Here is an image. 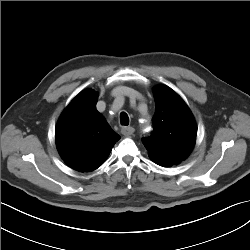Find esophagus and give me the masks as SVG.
Here are the masks:
<instances>
[{
	"mask_svg": "<svg viewBox=\"0 0 250 250\" xmlns=\"http://www.w3.org/2000/svg\"><path fill=\"white\" fill-rule=\"evenodd\" d=\"M135 132V129L131 126H124L121 128V133L125 136H131Z\"/></svg>",
	"mask_w": 250,
	"mask_h": 250,
	"instance_id": "obj_1",
	"label": "esophagus"
}]
</instances>
